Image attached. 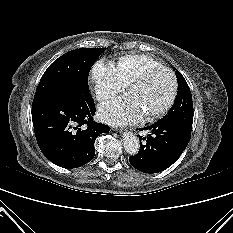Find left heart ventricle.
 I'll return each mask as SVG.
<instances>
[{
    "label": "left heart ventricle",
    "mask_w": 233,
    "mask_h": 233,
    "mask_svg": "<svg viewBox=\"0 0 233 233\" xmlns=\"http://www.w3.org/2000/svg\"><path fill=\"white\" fill-rule=\"evenodd\" d=\"M171 88L170 75L165 71H157L145 82L128 88V92L136 97L145 115L157 111L166 103Z\"/></svg>",
    "instance_id": "1"
}]
</instances>
